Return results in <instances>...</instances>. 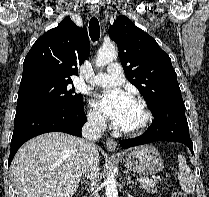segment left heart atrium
<instances>
[{"label": "left heart atrium", "instance_id": "left-heart-atrium-1", "mask_svg": "<svg viewBox=\"0 0 209 197\" xmlns=\"http://www.w3.org/2000/svg\"><path fill=\"white\" fill-rule=\"evenodd\" d=\"M95 106L116 127L124 128L136 108L135 100L126 92L109 89L95 98Z\"/></svg>", "mask_w": 209, "mask_h": 197}]
</instances>
